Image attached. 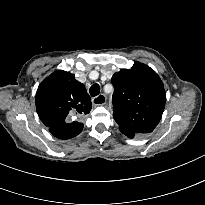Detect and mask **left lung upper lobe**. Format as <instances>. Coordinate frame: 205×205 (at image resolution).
Here are the masks:
<instances>
[{
	"instance_id": "obj_1",
	"label": "left lung upper lobe",
	"mask_w": 205,
	"mask_h": 205,
	"mask_svg": "<svg viewBox=\"0 0 205 205\" xmlns=\"http://www.w3.org/2000/svg\"><path fill=\"white\" fill-rule=\"evenodd\" d=\"M115 87L113 117L120 129L137 134L151 133L165 107L166 93L160 77L149 66L135 62L111 79Z\"/></svg>"
}]
</instances>
